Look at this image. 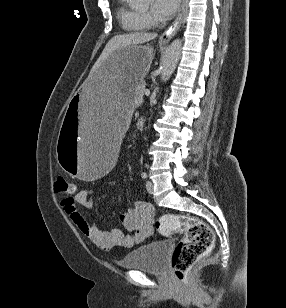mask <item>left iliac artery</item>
Returning <instances> with one entry per match:
<instances>
[{
    "label": "left iliac artery",
    "instance_id": "obj_1",
    "mask_svg": "<svg viewBox=\"0 0 286 308\" xmlns=\"http://www.w3.org/2000/svg\"><path fill=\"white\" fill-rule=\"evenodd\" d=\"M141 177H142L143 179H145V178H147V174H146L145 172H143V173L141 174Z\"/></svg>",
    "mask_w": 286,
    "mask_h": 308
}]
</instances>
